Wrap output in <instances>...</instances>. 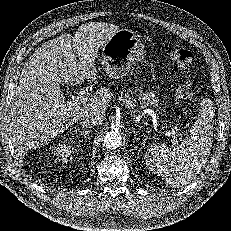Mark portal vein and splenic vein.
Segmentation results:
<instances>
[{"instance_id":"1","label":"portal vein and splenic vein","mask_w":231,"mask_h":231,"mask_svg":"<svg viewBox=\"0 0 231 231\" xmlns=\"http://www.w3.org/2000/svg\"><path fill=\"white\" fill-rule=\"evenodd\" d=\"M86 92L85 91H80L75 97H73V100L78 101V102H86L87 97H85ZM176 133L174 131H168L166 132V136H171L173 138L172 143H176Z\"/></svg>"}]
</instances>
